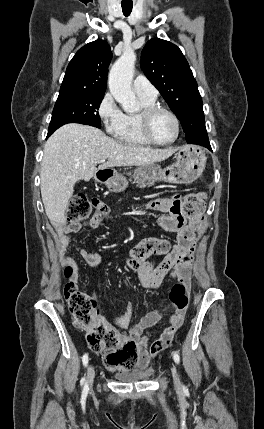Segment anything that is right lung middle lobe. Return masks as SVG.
<instances>
[{
  "instance_id": "obj_1",
  "label": "right lung middle lobe",
  "mask_w": 264,
  "mask_h": 429,
  "mask_svg": "<svg viewBox=\"0 0 264 429\" xmlns=\"http://www.w3.org/2000/svg\"><path fill=\"white\" fill-rule=\"evenodd\" d=\"M103 96L104 94L87 92H60L53 109L47 137L67 123H81L100 128L97 110Z\"/></svg>"
}]
</instances>
